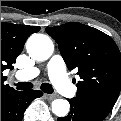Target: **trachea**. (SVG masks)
<instances>
[{"mask_svg":"<svg viewBox=\"0 0 121 121\" xmlns=\"http://www.w3.org/2000/svg\"><path fill=\"white\" fill-rule=\"evenodd\" d=\"M18 90H28L33 87L30 82H19L16 84ZM41 90L45 93L51 94L53 92V87L48 83H42L40 86Z\"/></svg>","mask_w":121,"mask_h":121,"instance_id":"1","label":"trachea"}]
</instances>
